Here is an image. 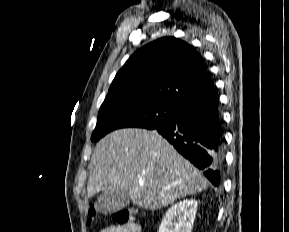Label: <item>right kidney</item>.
Returning a JSON list of instances; mask_svg holds the SVG:
<instances>
[{"label": "right kidney", "mask_w": 289, "mask_h": 232, "mask_svg": "<svg viewBox=\"0 0 289 232\" xmlns=\"http://www.w3.org/2000/svg\"><path fill=\"white\" fill-rule=\"evenodd\" d=\"M198 202L186 199L173 205L165 213L158 232H191Z\"/></svg>", "instance_id": "right-kidney-1"}]
</instances>
